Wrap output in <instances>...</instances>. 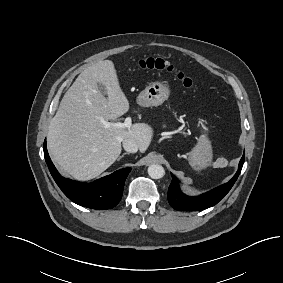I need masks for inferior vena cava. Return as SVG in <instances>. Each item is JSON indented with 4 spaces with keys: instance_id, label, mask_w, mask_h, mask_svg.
<instances>
[{
    "instance_id": "1",
    "label": "inferior vena cava",
    "mask_w": 283,
    "mask_h": 283,
    "mask_svg": "<svg viewBox=\"0 0 283 283\" xmlns=\"http://www.w3.org/2000/svg\"><path fill=\"white\" fill-rule=\"evenodd\" d=\"M123 148L130 153H136L138 151L139 145L138 143L131 138H126L122 141Z\"/></svg>"
}]
</instances>
